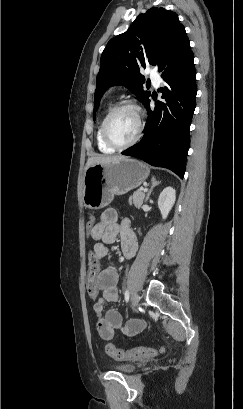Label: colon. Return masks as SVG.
<instances>
[{
    "instance_id": "1",
    "label": "colon",
    "mask_w": 243,
    "mask_h": 409,
    "mask_svg": "<svg viewBox=\"0 0 243 409\" xmlns=\"http://www.w3.org/2000/svg\"><path fill=\"white\" fill-rule=\"evenodd\" d=\"M96 225V221L93 215L90 216L86 223V231L91 232ZM96 268H93L92 272L95 273ZM88 293L92 299L97 298L98 291L94 288H88ZM105 352L112 358L120 361H133L138 359H145L156 355L162 349H156L152 347H134L131 349H119L111 344H106Z\"/></svg>"
}]
</instances>
